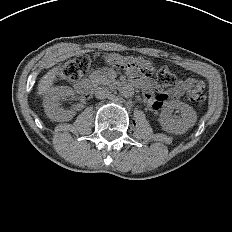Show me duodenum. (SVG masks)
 Returning <instances> with one entry per match:
<instances>
[{"label":"duodenum","mask_w":232,"mask_h":232,"mask_svg":"<svg viewBox=\"0 0 232 232\" xmlns=\"http://www.w3.org/2000/svg\"><path fill=\"white\" fill-rule=\"evenodd\" d=\"M76 88L83 94L90 95L93 92V85L90 80L84 79L76 84Z\"/></svg>","instance_id":"1"}]
</instances>
